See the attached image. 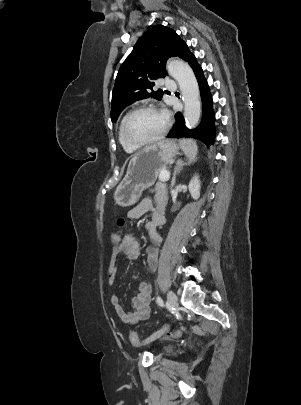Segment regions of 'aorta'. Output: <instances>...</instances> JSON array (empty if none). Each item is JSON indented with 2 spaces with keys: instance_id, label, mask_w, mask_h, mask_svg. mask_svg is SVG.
<instances>
[{
  "instance_id": "1",
  "label": "aorta",
  "mask_w": 301,
  "mask_h": 405,
  "mask_svg": "<svg viewBox=\"0 0 301 405\" xmlns=\"http://www.w3.org/2000/svg\"><path fill=\"white\" fill-rule=\"evenodd\" d=\"M169 74L178 82L182 99L185 104L184 117L186 126L193 129L201 116V102L197 79L191 67L180 59L168 62Z\"/></svg>"
}]
</instances>
